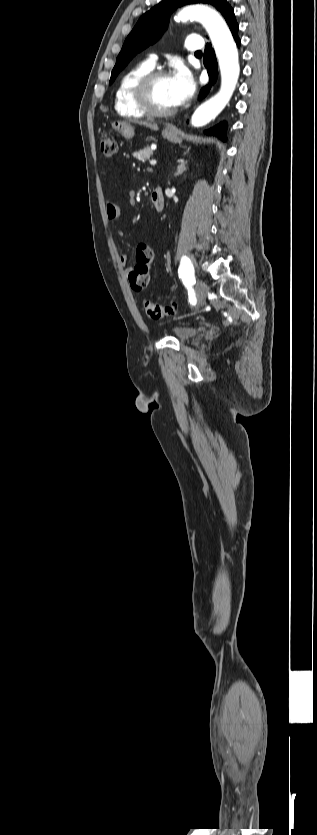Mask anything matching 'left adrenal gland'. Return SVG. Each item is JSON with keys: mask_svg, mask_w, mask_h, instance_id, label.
Segmentation results:
<instances>
[{"mask_svg": "<svg viewBox=\"0 0 317 835\" xmlns=\"http://www.w3.org/2000/svg\"><path fill=\"white\" fill-rule=\"evenodd\" d=\"M186 164H187V162L180 163L177 166V170L174 173V176H178V175L182 174L184 171H186L187 170Z\"/></svg>", "mask_w": 317, "mask_h": 835, "instance_id": "left-adrenal-gland-1", "label": "left adrenal gland"}]
</instances>
